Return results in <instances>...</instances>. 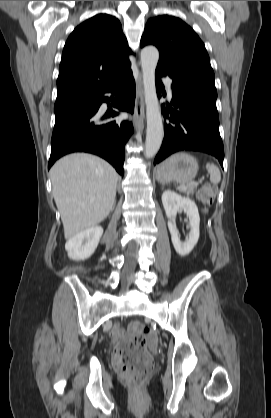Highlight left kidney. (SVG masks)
I'll use <instances>...</instances> for the list:
<instances>
[{"label": "left kidney", "mask_w": 271, "mask_h": 418, "mask_svg": "<svg viewBox=\"0 0 271 418\" xmlns=\"http://www.w3.org/2000/svg\"><path fill=\"white\" fill-rule=\"evenodd\" d=\"M162 203L168 218V228L171 234L173 246L180 256H187L197 244L200 235V217L198 208L195 202L190 198L182 197L171 190L163 192ZM179 210H183L184 213H186L189 218L191 228L189 236L185 242L180 241L179 232L175 224V218Z\"/></svg>", "instance_id": "left-kidney-1"}]
</instances>
